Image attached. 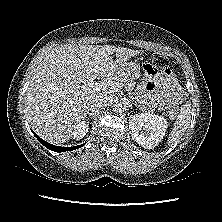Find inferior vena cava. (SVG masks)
I'll return each instance as SVG.
<instances>
[{"instance_id":"1","label":"inferior vena cava","mask_w":222,"mask_h":222,"mask_svg":"<svg viewBox=\"0 0 222 222\" xmlns=\"http://www.w3.org/2000/svg\"><path fill=\"white\" fill-rule=\"evenodd\" d=\"M108 105V98L104 95L98 94L94 96L89 102V110L93 113L102 110L104 107Z\"/></svg>"}]
</instances>
